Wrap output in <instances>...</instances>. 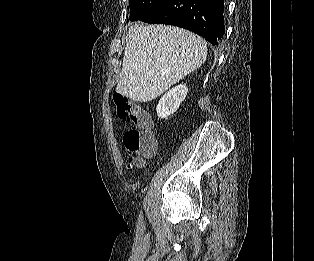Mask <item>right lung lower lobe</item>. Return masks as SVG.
<instances>
[{
	"mask_svg": "<svg viewBox=\"0 0 314 261\" xmlns=\"http://www.w3.org/2000/svg\"><path fill=\"white\" fill-rule=\"evenodd\" d=\"M224 0H167L141 21L179 26L218 45L225 33Z\"/></svg>",
	"mask_w": 314,
	"mask_h": 261,
	"instance_id": "obj_1",
	"label": "right lung lower lobe"
}]
</instances>
